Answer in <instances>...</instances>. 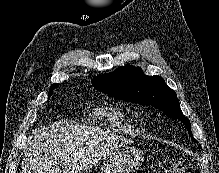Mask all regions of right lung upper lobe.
Returning a JSON list of instances; mask_svg holds the SVG:
<instances>
[{
    "label": "right lung upper lobe",
    "mask_w": 219,
    "mask_h": 173,
    "mask_svg": "<svg viewBox=\"0 0 219 173\" xmlns=\"http://www.w3.org/2000/svg\"><path fill=\"white\" fill-rule=\"evenodd\" d=\"M55 85H58V84H53L52 86H55Z\"/></svg>",
    "instance_id": "obj_1"
}]
</instances>
